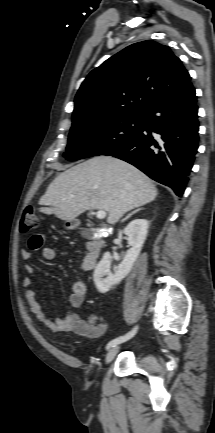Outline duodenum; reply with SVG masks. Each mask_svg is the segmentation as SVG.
I'll use <instances>...</instances> for the list:
<instances>
[{"mask_svg": "<svg viewBox=\"0 0 215 433\" xmlns=\"http://www.w3.org/2000/svg\"><path fill=\"white\" fill-rule=\"evenodd\" d=\"M69 224L72 228H77L79 226V223L76 220H71L69 222ZM102 248H103V236L102 235L95 236L87 244L88 254L95 261L100 256Z\"/></svg>", "mask_w": 215, "mask_h": 433, "instance_id": "duodenum-1", "label": "duodenum"}]
</instances>
